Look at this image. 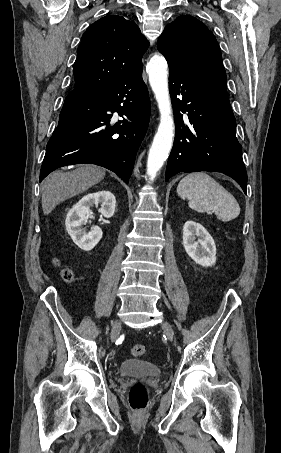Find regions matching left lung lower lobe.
<instances>
[{
  "mask_svg": "<svg viewBox=\"0 0 281 453\" xmlns=\"http://www.w3.org/2000/svg\"><path fill=\"white\" fill-rule=\"evenodd\" d=\"M169 72L176 135L166 181L179 172H221L236 180L246 194L247 172L226 78L189 74L172 65ZM180 112H188L190 124H184Z\"/></svg>",
  "mask_w": 281,
  "mask_h": 453,
  "instance_id": "left-lung-lower-lobe-1",
  "label": "left lung lower lobe"
}]
</instances>
